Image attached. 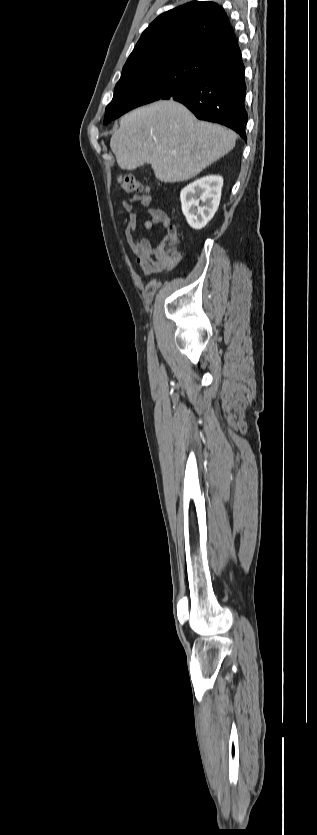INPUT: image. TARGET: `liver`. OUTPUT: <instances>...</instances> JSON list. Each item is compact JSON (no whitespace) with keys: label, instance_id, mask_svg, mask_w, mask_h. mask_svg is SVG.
<instances>
[{"label":"liver","instance_id":"obj_1","mask_svg":"<svg viewBox=\"0 0 317 835\" xmlns=\"http://www.w3.org/2000/svg\"><path fill=\"white\" fill-rule=\"evenodd\" d=\"M237 135L223 126L197 121L182 104L160 100L125 114L110 141L120 168L151 164L163 182L188 180L230 152Z\"/></svg>","mask_w":317,"mask_h":835}]
</instances>
